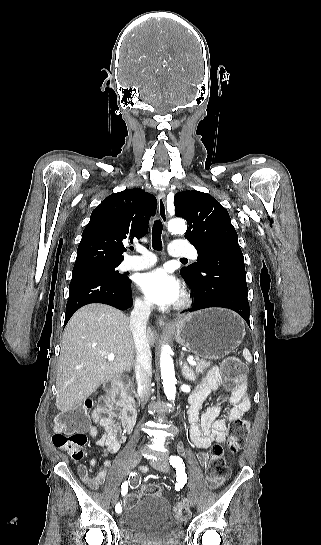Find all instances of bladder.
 <instances>
[{"label":"bladder","mask_w":321,"mask_h":545,"mask_svg":"<svg viewBox=\"0 0 321 545\" xmlns=\"http://www.w3.org/2000/svg\"><path fill=\"white\" fill-rule=\"evenodd\" d=\"M118 528L127 545H178L184 535L168 500L161 494L147 495L118 515Z\"/></svg>","instance_id":"bladder-1"}]
</instances>
